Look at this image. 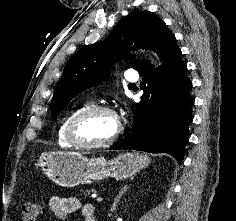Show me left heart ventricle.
<instances>
[{
  "label": "left heart ventricle",
  "instance_id": "1",
  "mask_svg": "<svg viewBox=\"0 0 236 221\" xmlns=\"http://www.w3.org/2000/svg\"><path fill=\"white\" fill-rule=\"evenodd\" d=\"M117 126V120L114 116L99 112L81 121L77 128V135L84 142H102L115 134Z\"/></svg>",
  "mask_w": 236,
  "mask_h": 221
}]
</instances>
